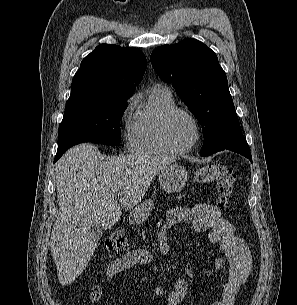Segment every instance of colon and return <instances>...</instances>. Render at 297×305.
I'll return each mask as SVG.
<instances>
[{
    "mask_svg": "<svg viewBox=\"0 0 297 305\" xmlns=\"http://www.w3.org/2000/svg\"><path fill=\"white\" fill-rule=\"evenodd\" d=\"M197 183H214L217 188L218 203L226 206L234 192L236 177L232 170L221 162L199 168L194 174ZM106 247L111 252H123L128 247V237L124 229L116 228L108 236Z\"/></svg>",
    "mask_w": 297,
    "mask_h": 305,
    "instance_id": "obj_1",
    "label": "colon"
}]
</instances>
